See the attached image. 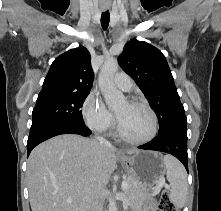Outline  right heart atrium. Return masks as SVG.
I'll use <instances>...</instances> for the list:
<instances>
[{"instance_id":"d8ad5b80","label":"right heart atrium","mask_w":221,"mask_h":211,"mask_svg":"<svg viewBox=\"0 0 221 211\" xmlns=\"http://www.w3.org/2000/svg\"><path fill=\"white\" fill-rule=\"evenodd\" d=\"M82 114L86 125L97 133H108L114 127V117L101 97L90 92L82 106Z\"/></svg>"}]
</instances>
